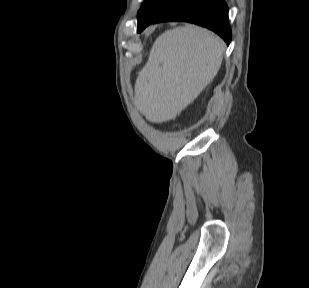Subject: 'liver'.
Wrapping results in <instances>:
<instances>
[{
    "mask_svg": "<svg viewBox=\"0 0 309 288\" xmlns=\"http://www.w3.org/2000/svg\"><path fill=\"white\" fill-rule=\"evenodd\" d=\"M225 45L192 24L165 31L154 42L135 82V104L154 123L173 120L218 73Z\"/></svg>",
    "mask_w": 309,
    "mask_h": 288,
    "instance_id": "obj_1",
    "label": "liver"
}]
</instances>
